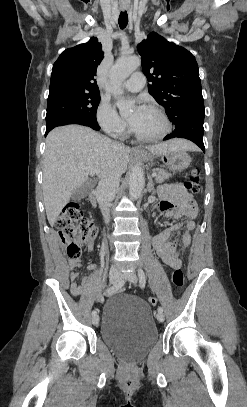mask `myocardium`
I'll list each match as a JSON object with an SVG mask.
<instances>
[{"mask_svg":"<svg viewBox=\"0 0 247 407\" xmlns=\"http://www.w3.org/2000/svg\"><path fill=\"white\" fill-rule=\"evenodd\" d=\"M146 109H149V110H152V111L156 112L161 117V119L163 120L164 125H165V128H164L163 132L160 135L156 136V137H150V138L143 137V136L139 135L134 130L133 126L130 127V132L135 137V139L138 140L139 142H142V143H156V142H159V141L163 140L164 138H166L169 135V133L171 132V130H172L171 121H170L167 113L165 112V110L162 109L159 106L150 105V106H147Z\"/></svg>","mask_w":247,"mask_h":407,"instance_id":"f54148a6","label":"myocardium"}]
</instances>
